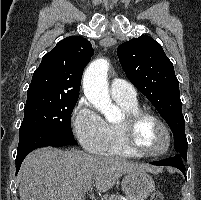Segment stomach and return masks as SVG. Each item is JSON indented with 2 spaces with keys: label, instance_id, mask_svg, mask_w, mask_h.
Listing matches in <instances>:
<instances>
[{
  "label": "stomach",
  "instance_id": "0dacf381",
  "mask_svg": "<svg viewBox=\"0 0 201 200\" xmlns=\"http://www.w3.org/2000/svg\"><path fill=\"white\" fill-rule=\"evenodd\" d=\"M121 187L128 200H146L155 190V183L148 173L135 171L125 174Z\"/></svg>",
  "mask_w": 201,
  "mask_h": 200
}]
</instances>
